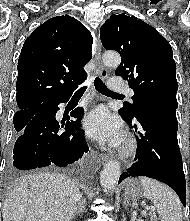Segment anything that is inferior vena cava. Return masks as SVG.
Listing matches in <instances>:
<instances>
[{
  "label": "inferior vena cava",
  "instance_id": "inferior-vena-cava-1",
  "mask_svg": "<svg viewBox=\"0 0 190 221\" xmlns=\"http://www.w3.org/2000/svg\"><path fill=\"white\" fill-rule=\"evenodd\" d=\"M78 197L80 198V197H81V195L79 194V195H78Z\"/></svg>",
  "mask_w": 190,
  "mask_h": 221
}]
</instances>
